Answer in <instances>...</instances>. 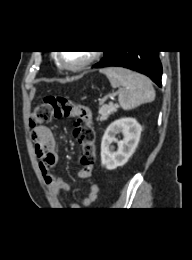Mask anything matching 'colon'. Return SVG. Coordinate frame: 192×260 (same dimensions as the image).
<instances>
[{
	"mask_svg": "<svg viewBox=\"0 0 192 260\" xmlns=\"http://www.w3.org/2000/svg\"><path fill=\"white\" fill-rule=\"evenodd\" d=\"M74 118L75 137L82 145L83 166H92L95 159V131L90 120V110L64 96H47L30 116V125L39 127L52 118Z\"/></svg>",
	"mask_w": 192,
	"mask_h": 260,
	"instance_id": "obj_1",
	"label": "colon"
}]
</instances>
